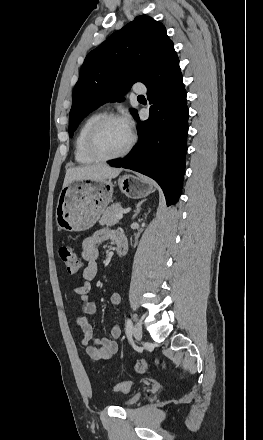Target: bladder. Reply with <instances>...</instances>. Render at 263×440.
I'll use <instances>...</instances> for the list:
<instances>
[{"instance_id":"bladder-1","label":"bladder","mask_w":263,"mask_h":440,"mask_svg":"<svg viewBox=\"0 0 263 440\" xmlns=\"http://www.w3.org/2000/svg\"><path fill=\"white\" fill-rule=\"evenodd\" d=\"M140 397H141L140 393H135L133 395H130L123 401L122 406L124 407L132 406L140 399Z\"/></svg>"}]
</instances>
